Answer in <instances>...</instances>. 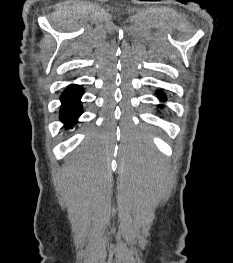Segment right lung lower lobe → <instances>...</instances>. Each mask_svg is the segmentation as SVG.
I'll list each match as a JSON object with an SVG mask.
<instances>
[{
	"mask_svg": "<svg viewBox=\"0 0 233 263\" xmlns=\"http://www.w3.org/2000/svg\"><path fill=\"white\" fill-rule=\"evenodd\" d=\"M82 89L78 85H70L61 95L60 120L70 126L77 122L82 113Z\"/></svg>",
	"mask_w": 233,
	"mask_h": 263,
	"instance_id": "1",
	"label": "right lung lower lobe"
}]
</instances>
